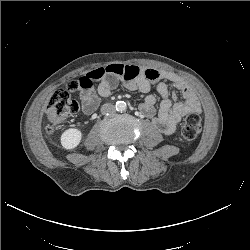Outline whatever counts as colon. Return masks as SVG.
Segmentation results:
<instances>
[{
    "label": "colon",
    "mask_w": 250,
    "mask_h": 250,
    "mask_svg": "<svg viewBox=\"0 0 250 250\" xmlns=\"http://www.w3.org/2000/svg\"><path fill=\"white\" fill-rule=\"evenodd\" d=\"M78 87L77 81H71L52 95L46 107L47 133H52L58 124L78 112V103L71 98V94ZM201 129L200 117L196 113H191L184 119L181 132L184 138L192 140L199 136Z\"/></svg>",
    "instance_id": "colon-1"
}]
</instances>
